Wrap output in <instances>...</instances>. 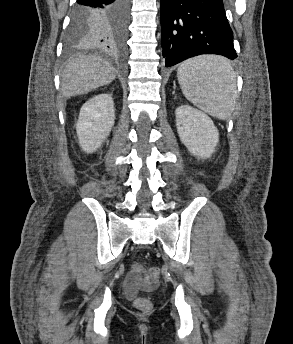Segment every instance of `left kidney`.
Returning a JSON list of instances; mask_svg holds the SVG:
<instances>
[{"mask_svg":"<svg viewBox=\"0 0 293 344\" xmlns=\"http://www.w3.org/2000/svg\"><path fill=\"white\" fill-rule=\"evenodd\" d=\"M176 127L181 142L194 156L207 159L219 142V132L209 116L188 105L176 108Z\"/></svg>","mask_w":293,"mask_h":344,"instance_id":"5707ae66","label":"left kidney"}]
</instances>
